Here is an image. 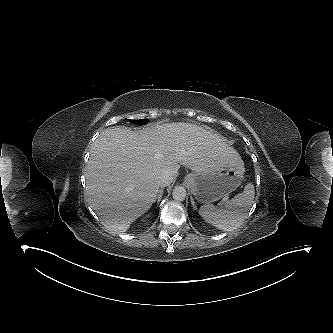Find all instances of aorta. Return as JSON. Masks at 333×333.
I'll use <instances>...</instances> for the list:
<instances>
[{"mask_svg":"<svg viewBox=\"0 0 333 333\" xmlns=\"http://www.w3.org/2000/svg\"><path fill=\"white\" fill-rule=\"evenodd\" d=\"M186 195H187L186 189L184 187H182V186H176L173 189L172 197L176 201H183V200H185Z\"/></svg>","mask_w":333,"mask_h":333,"instance_id":"aorta-1","label":"aorta"}]
</instances>
